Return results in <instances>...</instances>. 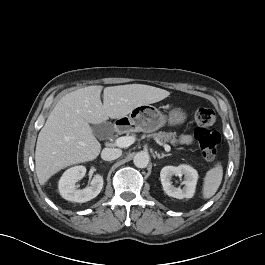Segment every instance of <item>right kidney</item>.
I'll return each instance as SVG.
<instances>
[{"label": "right kidney", "instance_id": "1", "mask_svg": "<svg viewBox=\"0 0 265 265\" xmlns=\"http://www.w3.org/2000/svg\"><path fill=\"white\" fill-rule=\"evenodd\" d=\"M86 174L84 166H74L67 169L59 180L58 188L61 196L69 201L84 203L98 196L103 188V177L94 175L90 186L77 189L75 183Z\"/></svg>", "mask_w": 265, "mask_h": 265}]
</instances>
